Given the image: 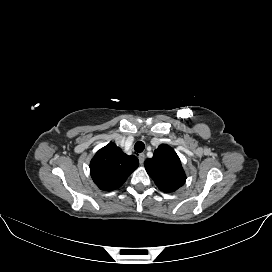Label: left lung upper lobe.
I'll return each mask as SVG.
<instances>
[{
    "instance_id": "1",
    "label": "left lung upper lobe",
    "mask_w": 272,
    "mask_h": 272,
    "mask_svg": "<svg viewBox=\"0 0 272 272\" xmlns=\"http://www.w3.org/2000/svg\"><path fill=\"white\" fill-rule=\"evenodd\" d=\"M144 165L156 186L166 193L176 191L186 181L178 155L166 144H161L153 157L145 160Z\"/></svg>"
}]
</instances>
